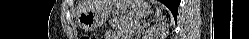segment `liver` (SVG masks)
Segmentation results:
<instances>
[{
  "mask_svg": "<svg viewBox=\"0 0 249 39\" xmlns=\"http://www.w3.org/2000/svg\"><path fill=\"white\" fill-rule=\"evenodd\" d=\"M122 0H86L80 8V12L95 8V7H112L118 6Z\"/></svg>",
  "mask_w": 249,
  "mask_h": 39,
  "instance_id": "1",
  "label": "liver"
}]
</instances>
